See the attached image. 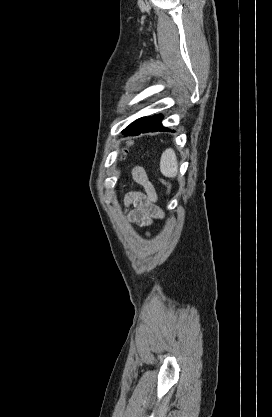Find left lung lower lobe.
<instances>
[{
  "mask_svg": "<svg viewBox=\"0 0 272 417\" xmlns=\"http://www.w3.org/2000/svg\"><path fill=\"white\" fill-rule=\"evenodd\" d=\"M162 119H163L162 114L153 115L147 120V122L142 127L138 128L137 130L132 131L128 135L135 136V135H138L140 133H145V132L172 131L162 126L161 124Z\"/></svg>",
  "mask_w": 272,
  "mask_h": 417,
  "instance_id": "1",
  "label": "left lung lower lobe"
}]
</instances>
